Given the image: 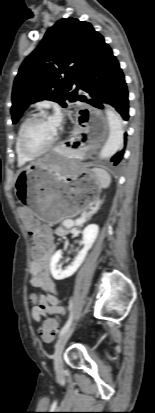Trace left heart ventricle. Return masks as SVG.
<instances>
[{"label":"left heart ventricle","instance_id":"left-heart-ventricle-1","mask_svg":"<svg viewBox=\"0 0 155 413\" xmlns=\"http://www.w3.org/2000/svg\"><path fill=\"white\" fill-rule=\"evenodd\" d=\"M57 131L53 128L50 120L36 122L27 133V145L33 150L46 147L56 136Z\"/></svg>","mask_w":155,"mask_h":413}]
</instances>
